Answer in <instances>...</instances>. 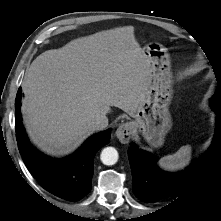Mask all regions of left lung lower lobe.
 <instances>
[{
  "instance_id": "left-lung-lower-lobe-1",
  "label": "left lung lower lobe",
  "mask_w": 221,
  "mask_h": 221,
  "mask_svg": "<svg viewBox=\"0 0 221 221\" xmlns=\"http://www.w3.org/2000/svg\"><path fill=\"white\" fill-rule=\"evenodd\" d=\"M212 107V106H211ZM215 132L210 148L192 165L178 173H166L153 162V157L134 144L128 150L134 194L144 202L178 196L194 185L204 174L217 145L221 146V105L215 104Z\"/></svg>"
}]
</instances>
